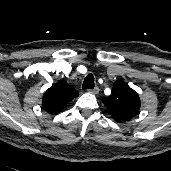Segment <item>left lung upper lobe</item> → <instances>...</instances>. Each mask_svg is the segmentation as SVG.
Segmentation results:
<instances>
[{"label":"left lung upper lobe","mask_w":171,"mask_h":171,"mask_svg":"<svg viewBox=\"0 0 171 171\" xmlns=\"http://www.w3.org/2000/svg\"><path fill=\"white\" fill-rule=\"evenodd\" d=\"M102 101L113 119L120 123L131 120L140 110L138 94L122 80L114 83L111 95L103 98Z\"/></svg>","instance_id":"5c2ea615"}]
</instances>
